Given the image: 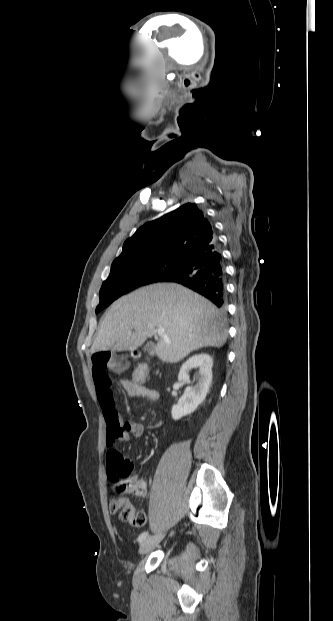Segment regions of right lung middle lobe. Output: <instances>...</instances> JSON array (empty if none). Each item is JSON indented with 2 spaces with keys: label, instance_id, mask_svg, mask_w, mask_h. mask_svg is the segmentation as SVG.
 Wrapping results in <instances>:
<instances>
[{
  "label": "right lung middle lobe",
  "instance_id": "1",
  "mask_svg": "<svg viewBox=\"0 0 333 621\" xmlns=\"http://www.w3.org/2000/svg\"><path fill=\"white\" fill-rule=\"evenodd\" d=\"M183 263L184 258L159 257L112 264L110 275L100 290L96 313L135 288L162 281L174 274Z\"/></svg>",
  "mask_w": 333,
  "mask_h": 621
}]
</instances>
